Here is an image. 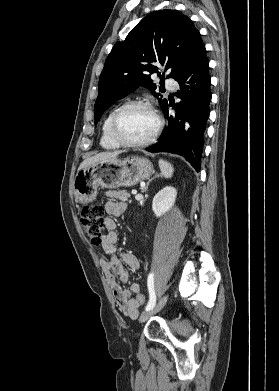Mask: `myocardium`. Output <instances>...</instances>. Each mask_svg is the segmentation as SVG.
Listing matches in <instances>:
<instances>
[{
	"mask_svg": "<svg viewBox=\"0 0 279 391\" xmlns=\"http://www.w3.org/2000/svg\"><path fill=\"white\" fill-rule=\"evenodd\" d=\"M131 107H145L151 111V113L154 115L155 120H156V126L152 134L145 140L142 141H128L124 139L119 131H118V122L120 119V116L122 113ZM163 127V121L160 115L158 114L157 110L153 106V104L147 100H131L127 101L121 106H119L115 112L113 113V116L111 118L110 122V135L114 141H116L118 144L124 147H130V148H140V147H145L150 144H152L156 138L158 137L161 129Z\"/></svg>",
	"mask_w": 279,
	"mask_h": 391,
	"instance_id": "f54148a6",
	"label": "myocardium"
}]
</instances>
